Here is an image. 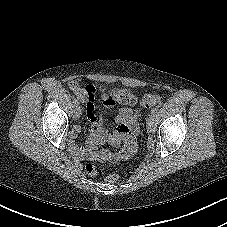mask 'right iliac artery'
I'll use <instances>...</instances> for the list:
<instances>
[{
  "instance_id": "1",
  "label": "right iliac artery",
  "mask_w": 227,
  "mask_h": 227,
  "mask_svg": "<svg viewBox=\"0 0 227 227\" xmlns=\"http://www.w3.org/2000/svg\"><path fill=\"white\" fill-rule=\"evenodd\" d=\"M73 104L75 105V106H78L79 105V102H78V100L76 99V98H73Z\"/></svg>"
}]
</instances>
